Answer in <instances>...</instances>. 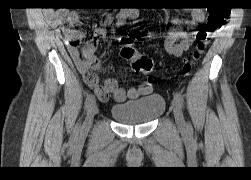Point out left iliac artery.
Returning <instances> with one entry per match:
<instances>
[{
	"label": "left iliac artery",
	"mask_w": 251,
	"mask_h": 180,
	"mask_svg": "<svg viewBox=\"0 0 251 180\" xmlns=\"http://www.w3.org/2000/svg\"><path fill=\"white\" fill-rule=\"evenodd\" d=\"M174 99L178 102L180 107L184 106V98H183L182 94L176 92L174 95Z\"/></svg>",
	"instance_id": "obj_1"
}]
</instances>
